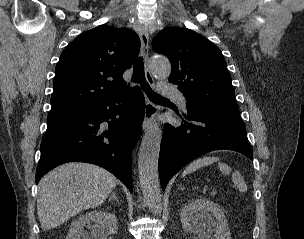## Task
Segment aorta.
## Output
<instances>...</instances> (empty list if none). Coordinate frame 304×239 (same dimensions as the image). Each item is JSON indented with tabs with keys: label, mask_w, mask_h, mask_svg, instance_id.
Here are the masks:
<instances>
[{
	"label": "aorta",
	"mask_w": 304,
	"mask_h": 239,
	"mask_svg": "<svg viewBox=\"0 0 304 239\" xmlns=\"http://www.w3.org/2000/svg\"><path fill=\"white\" fill-rule=\"evenodd\" d=\"M150 71L153 76L167 78L171 73L169 60L164 56H155L149 62ZM162 130L156 123L145 133L138 157L139 181L143 196L149 208L154 213L162 210L161 191L158 177V158Z\"/></svg>",
	"instance_id": "762f6f07"
}]
</instances>
